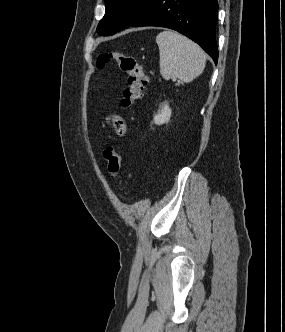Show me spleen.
Listing matches in <instances>:
<instances>
[{"instance_id": "1", "label": "spleen", "mask_w": 285, "mask_h": 332, "mask_svg": "<svg viewBox=\"0 0 285 332\" xmlns=\"http://www.w3.org/2000/svg\"><path fill=\"white\" fill-rule=\"evenodd\" d=\"M160 55V74L165 80L178 78L189 83L202 74L206 54L199 45L187 37L170 30L156 37Z\"/></svg>"}]
</instances>
